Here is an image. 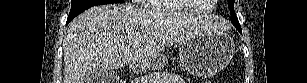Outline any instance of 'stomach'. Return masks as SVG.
<instances>
[{
  "instance_id": "1",
  "label": "stomach",
  "mask_w": 307,
  "mask_h": 83,
  "mask_svg": "<svg viewBox=\"0 0 307 83\" xmlns=\"http://www.w3.org/2000/svg\"><path fill=\"white\" fill-rule=\"evenodd\" d=\"M234 42L225 33L197 35L180 43L179 56L183 68L190 74L200 77L212 76L223 69L232 59ZM167 59L158 55L145 63L134 65V70H157L166 64Z\"/></svg>"
}]
</instances>
